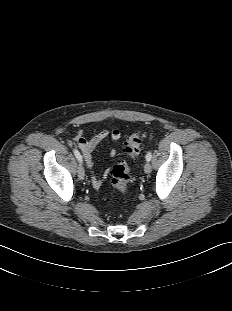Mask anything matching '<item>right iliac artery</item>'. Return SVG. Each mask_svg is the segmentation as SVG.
Listing matches in <instances>:
<instances>
[{
	"label": "right iliac artery",
	"mask_w": 232,
	"mask_h": 311,
	"mask_svg": "<svg viewBox=\"0 0 232 311\" xmlns=\"http://www.w3.org/2000/svg\"><path fill=\"white\" fill-rule=\"evenodd\" d=\"M73 153H74L75 157L77 158V160L80 163H82L83 160H82V156H81L80 152L77 149H73Z\"/></svg>",
	"instance_id": "right-iliac-artery-1"
}]
</instances>
